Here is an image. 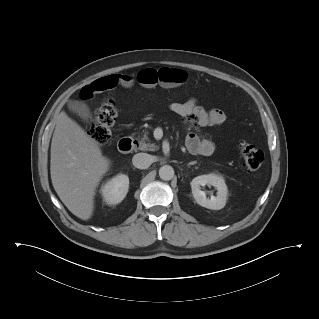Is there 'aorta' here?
I'll return each instance as SVG.
<instances>
[{
  "label": "aorta",
  "instance_id": "762f6f07",
  "mask_svg": "<svg viewBox=\"0 0 319 319\" xmlns=\"http://www.w3.org/2000/svg\"><path fill=\"white\" fill-rule=\"evenodd\" d=\"M159 176L162 180L168 181L174 177V169L170 165H164L159 169Z\"/></svg>",
  "mask_w": 319,
  "mask_h": 319
}]
</instances>
